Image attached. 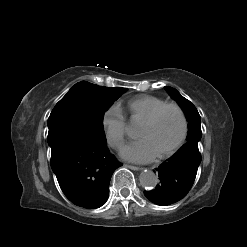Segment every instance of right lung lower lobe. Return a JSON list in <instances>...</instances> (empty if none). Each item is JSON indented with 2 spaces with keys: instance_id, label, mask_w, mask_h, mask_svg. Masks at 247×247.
<instances>
[{
  "instance_id": "1",
  "label": "right lung lower lobe",
  "mask_w": 247,
  "mask_h": 247,
  "mask_svg": "<svg viewBox=\"0 0 247 247\" xmlns=\"http://www.w3.org/2000/svg\"><path fill=\"white\" fill-rule=\"evenodd\" d=\"M51 168L66 197L75 205L99 208L108 199L109 182L122 164L106 143L73 126L49 128Z\"/></svg>"
}]
</instances>
